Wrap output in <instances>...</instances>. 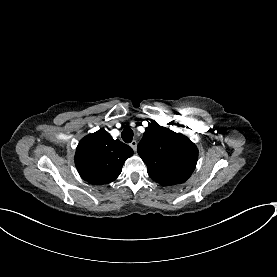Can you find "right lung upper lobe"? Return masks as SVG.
I'll list each match as a JSON object with an SVG mask.
<instances>
[{
  "label": "right lung upper lobe",
  "mask_w": 277,
  "mask_h": 277,
  "mask_svg": "<svg viewBox=\"0 0 277 277\" xmlns=\"http://www.w3.org/2000/svg\"><path fill=\"white\" fill-rule=\"evenodd\" d=\"M133 150L120 140H113L103 129L85 136L78 144L75 165L80 176L95 185L114 181Z\"/></svg>",
  "instance_id": "1"
}]
</instances>
